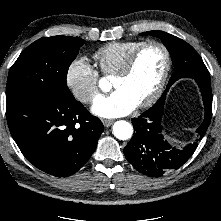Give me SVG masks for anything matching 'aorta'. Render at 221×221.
I'll return each mask as SVG.
<instances>
[{
	"label": "aorta",
	"mask_w": 221,
	"mask_h": 221,
	"mask_svg": "<svg viewBox=\"0 0 221 221\" xmlns=\"http://www.w3.org/2000/svg\"><path fill=\"white\" fill-rule=\"evenodd\" d=\"M106 84L107 81L104 79L99 82L101 89H105ZM112 133L119 140H127L133 134V127L129 122L120 120L113 124Z\"/></svg>",
	"instance_id": "aorta-1"
}]
</instances>
